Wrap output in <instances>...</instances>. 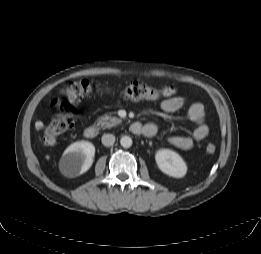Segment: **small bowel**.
I'll return each instance as SVG.
<instances>
[{
  "label": "small bowel",
  "instance_id": "obj_1",
  "mask_svg": "<svg viewBox=\"0 0 261 254\" xmlns=\"http://www.w3.org/2000/svg\"><path fill=\"white\" fill-rule=\"evenodd\" d=\"M185 99L182 96H174L164 100L161 103L162 109L167 113L177 112L183 108ZM188 118L195 124L191 136L176 135L171 137V143L183 150H188L193 147L195 141L203 140L209 133L208 125L205 122V107L200 102L191 104L187 112ZM145 128L146 137H153L157 133L156 125L147 123L143 126Z\"/></svg>",
  "mask_w": 261,
  "mask_h": 254
}]
</instances>
